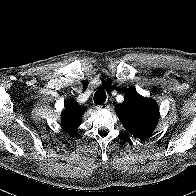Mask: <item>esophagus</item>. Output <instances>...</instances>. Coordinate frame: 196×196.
Wrapping results in <instances>:
<instances>
[{"label": "esophagus", "instance_id": "esophagus-1", "mask_svg": "<svg viewBox=\"0 0 196 196\" xmlns=\"http://www.w3.org/2000/svg\"><path fill=\"white\" fill-rule=\"evenodd\" d=\"M96 108H98V109H107V108H109V104H107V103L99 104V105H96Z\"/></svg>", "mask_w": 196, "mask_h": 196}]
</instances>
